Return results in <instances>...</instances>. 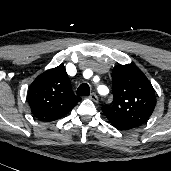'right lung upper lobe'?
Segmentation results:
<instances>
[{"label":"right lung upper lobe","instance_id":"right-lung-upper-lobe-1","mask_svg":"<svg viewBox=\"0 0 171 171\" xmlns=\"http://www.w3.org/2000/svg\"><path fill=\"white\" fill-rule=\"evenodd\" d=\"M32 114L50 122L65 116L81 100L75 96L63 64L39 75L28 91Z\"/></svg>","mask_w":171,"mask_h":171}]
</instances>
